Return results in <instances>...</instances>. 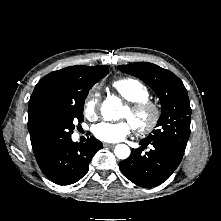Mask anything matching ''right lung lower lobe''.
<instances>
[{
	"label": "right lung lower lobe",
	"instance_id": "98d812e1",
	"mask_svg": "<svg viewBox=\"0 0 221 221\" xmlns=\"http://www.w3.org/2000/svg\"><path fill=\"white\" fill-rule=\"evenodd\" d=\"M101 148L102 143L94 137L88 138L86 143H77L69 136L45 145L34 155L49 180L69 185L88 172L92 157Z\"/></svg>",
	"mask_w": 221,
	"mask_h": 221
}]
</instances>
